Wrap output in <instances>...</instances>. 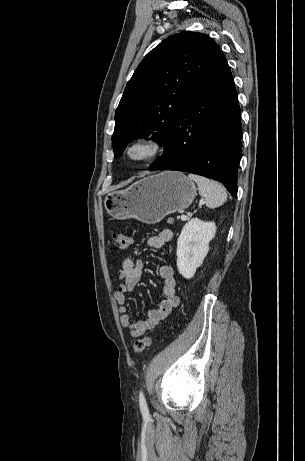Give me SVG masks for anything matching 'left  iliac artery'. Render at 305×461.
Instances as JSON below:
<instances>
[{
  "instance_id": "1",
  "label": "left iliac artery",
  "mask_w": 305,
  "mask_h": 461,
  "mask_svg": "<svg viewBox=\"0 0 305 461\" xmlns=\"http://www.w3.org/2000/svg\"><path fill=\"white\" fill-rule=\"evenodd\" d=\"M139 406H140L141 413L143 415L149 414L148 406H147V403H146V400H145V397L142 391H140L139 393Z\"/></svg>"
}]
</instances>
